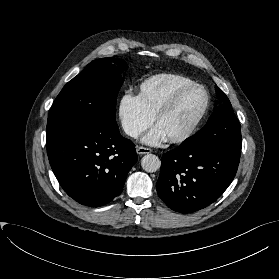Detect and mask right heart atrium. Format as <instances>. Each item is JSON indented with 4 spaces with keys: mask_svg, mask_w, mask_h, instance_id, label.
I'll return each mask as SVG.
<instances>
[{
    "mask_svg": "<svg viewBox=\"0 0 279 279\" xmlns=\"http://www.w3.org/2000/svg\"><path fill=\"white\" fill-rule=\"evenodd\" d=\"M117 118L123 132L130 138L138 137L154 120L145 109L139 95L128 91L118 100Z\"/></svg>",
    "mask_w": 279,
    "mask_h": 279,
    "instance_id": "obj_1",
    "label": "right heart atrium"
}]
</instances>
